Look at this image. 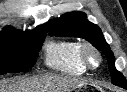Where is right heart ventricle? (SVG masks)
Wrapping results in <instances>:
<instances>
[{"mask_svg":"<svg viewBox=\"0 0 127 92\" xmlns=\"http://www.w3.org/2000/svg\"><path fill=\"white\" fill-rule=\"evenodd\" d=\"M80 47L81 44L74 40L49 41L45 47V65L64 74L85 73L87 68L81 62Z\"/></svg>","mask_w":127,"mask_h":92,"instance_id":"obj_1","label":"right heart ventricle"}]
</instances>
